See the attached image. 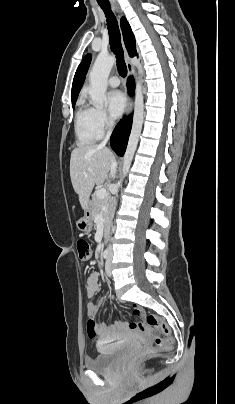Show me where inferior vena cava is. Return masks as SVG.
<instances>
[{"label": "inferior vena cava", "instance_id": "602c4592", "mask_svg": "<svg viewBox=\"0 0 235 404\" xmlns=\"http://www.w3.org/2000/svg\"><path fill=\"white\" fill-rule=\"evenodd\" d=\"M106 124H107V127H108L109 129H108V132H107V135H106L105 139H104L103 142H102V145H104V144L107 142V140L110 138V135H111V128H112L113 125H114V121H113L112 119H108L107 122H106ZM116 167H117L116 161L113 160V161H112V164H111V168H110V173H111V176H112V177H115ZM109 250L111 251V247H110V246H109Z\"/></svg>", "mask_w": 235, "mask_h": 404}]
</instances>
